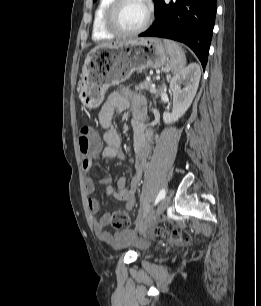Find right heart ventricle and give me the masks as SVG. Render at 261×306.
<instances>
[{"label": "right heart ventricle", "instance_id": "right-heart-ventricle-1", "mask_svg": "<svg viewBox=\"0 0 261 306\" xmlns=\"http://www.w3.org/2000/svg\"><path fill=\"white\" fill-rule=\"evenodd\" d=\"M111 0H99L94 11L92 22V38L95 41H104L114 37V34L109 32L103 23V16L107 6Z\"/></svg>", "mask_w": 261, "mask_h": 306}]
</instances>
